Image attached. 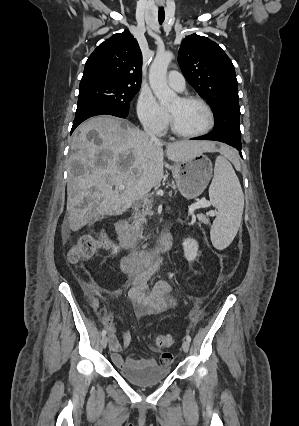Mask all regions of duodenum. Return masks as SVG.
<instances>
[{
	"instance_id": "obj_1",
	"label": "duodenum",
	"mask_w": 299,
	"mask_h": 426,
	"mask_svg": "<svg viewBox=\"0 0 299 426\" xmlns=\"http://www.w3.org/2000/svg\"><path fill=\"white\" fill-rule=\"evenodd\" d=\"M115 229L118 233L121 245L125 250V255L122 258V268L126 273H137L141 267L149 263L162 259L163 255L168 252L172 246V237L170 234H164L160 244L153 250H138L135 249V241L128 227L127 221L124 218L117 220Z\"/></svg>"
}]
</instances>
